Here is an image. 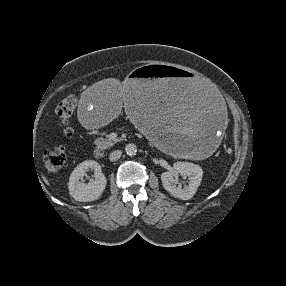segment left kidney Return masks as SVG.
<instances>
[{"mask_svg":"<svg viewBox=\"0 0 286 286\" xmlns=\"http://www.w3.org/2000/svg\"><path fill=\"white\" fill-rule=\"evenodd\" d=\"M178 174L189 178L188 186L181 188L175 185V179ZM203 177V171L199 165L190 162H176L173 169L161 174V181L165 190L172 196L182 200L191 199L196 193Z\"/></svg>","mask_w":286,"mask_h":286,"instance_id":"left-kidney-1","label":"left kidney"}]
</instances>
